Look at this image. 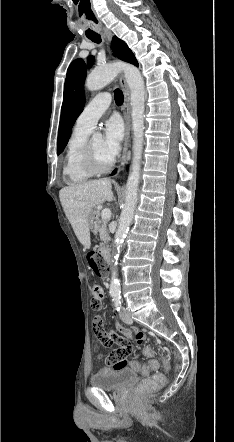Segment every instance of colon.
Segmentation results:
<instances>
[{"label": "colon", "instance_id": "5ec220e1", "mask_svg": "<svg viewBox=\"0 0 234 442\" xmlns=\"http://www.w3.org/2000/svg\"><path fill=\"white\" fill-rule=\"evenodd\" d=\"M87 260L90 268L97 276L103 278L108 277L109 266L100 255L94 252H90L87 255ZM103 297L104 295L101 286L98 284H93L91 287L90 304L94 310H99L102 308ZM141 353L148 358V361L144 364L140 363L136 359L132 360L130 357H127V355L129 354V349H122L121 347H119L110 355L108 363L114 368H123L127 366V369L130 372H139L142 375H149L151 372L157 371L159 368V362L154 358L153 347L149 344H145L142 347ZM165 385V376L163 374H155L149 379L140 380L138 390L144 393L154 389H164Z\"/></svg>", "mask_w": 234, "mask_h": 442}]
</instances>
